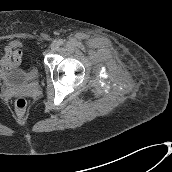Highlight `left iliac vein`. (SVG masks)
I'll return each mask as SVG.
<instances>
[{"label": "left iliac vein", "mask_w": 172, "mask_h": 172, "mask_svg": "<svg viewBox=\"0 0 172 172\" xmlns=\"http://www.w3.org/2000/svg\"><path fill=\"white\" fill-rule=\"evenodd\" d=\"M59 46H60V43H59L58 41H54V42L52 43V45H51V49H52L53 51H56V50L59 49Z\"/></svg>", "instance_id": "obj_1"}]
</instances>
